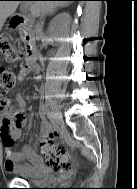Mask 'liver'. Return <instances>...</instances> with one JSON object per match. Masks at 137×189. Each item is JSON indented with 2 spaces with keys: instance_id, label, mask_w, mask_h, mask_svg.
Instances as JSON below:
<instances>
[{
  "instance_id": "6515ba94",
  "label": "liver",
  "mask_w": 137,
  "mask_h": 189,
  "mask_svg": "<svg viewBox=\"0 0 137 189\" xmlns=\"http://www.w3.org/2000/svg\"><path fill=\"white\" fill-rule=\"evenodd\" d=\"M31 4V12L35 16L41 15L43 12H52L57 6L66 4L64 1H33ZM19 5V1H0V31L6 19L13 15Z\"/></svg>"
}]
</instances>
